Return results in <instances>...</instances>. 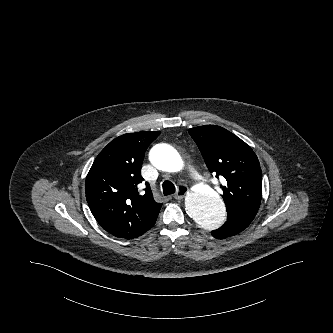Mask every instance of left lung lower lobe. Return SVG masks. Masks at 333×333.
Wrapping results in <instances>:
<instances>
[{"label": "left lung lower lobe", "instance_id": "1", "mask_svg": "<svg viewBox=\"0 0 333 333\" xmlns=\"http://www.w3.org/2000/svg\"><path fill=\"white\" fill-rule=\"evenodd\" d=\"M249 222L229 217L227 221L219 229L211 232L212 236L217 239L227 238L236 235L249 226Z\"/></svg>", "mask_w": 333, "mask_h": 333}]
</instances>
